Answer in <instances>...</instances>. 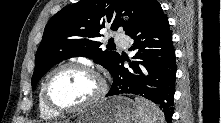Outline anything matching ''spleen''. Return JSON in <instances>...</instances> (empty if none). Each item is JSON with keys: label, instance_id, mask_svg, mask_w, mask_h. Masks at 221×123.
Returning a JSON list of instances; mask_svg holds the SVG:
<instances>
[{"label": "spleen", "instance_id": "3e777b00", "mask_svg": "<svg viewBox=\"0 0 221 123\" xmlns=\"http://www.w3.org/2000/svg\"><path fill=\"white\" fill-rule=\"evenodd\" d=\"M138 111L140 123H165L164 114L160 108L144 98H135Z\"/></svg>", "mask_w": 221, "mask_h": 123}]
</instances>
